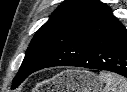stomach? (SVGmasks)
<instances>
[{
  "mask_svg": "<svg viewBox=\"0 0 127 92\" xmlns=\"http://www.w3.org/2000/svg\"><path fill=\"white\" fill-rule=\"evenodd\" d=\"M51 92H99L102 82L90 71L67 69L51 80Z\"/></svg>",
  "mask_w": 127,
  "mask_h": 92,
  "instance_id": "1",
  "label": "stomach"
}]
</instances>
